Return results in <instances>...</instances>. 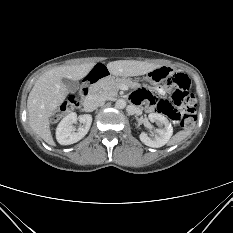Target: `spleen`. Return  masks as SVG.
I'll list each match as a JSON object with an SVG mask.
<instances>
[{"label":"spleen","mask_w":233,"mask_h":233,"mask_svg":"<svg viewBox=\"0 0 233 233\" xmlns=\"http://www.w3.org/2000/svg\"><path fill=\"white\" fill-rule=\"evenodd\" d=\"M191 135L190 130H182L177 132L171 139L170 145L179 144Z\"/></svg>","instance_id":"3e777b00"}]
</instances>
